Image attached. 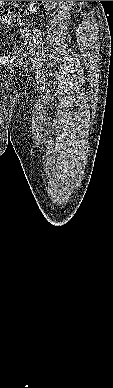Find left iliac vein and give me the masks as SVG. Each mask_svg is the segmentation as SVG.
<instances>
[{
    "label": "left iliac vein",
    "instance_id": "1",
    "mask_svg": "<svg viewBox=\"0 0 113 388\" xmlns=\"http://www.w3.org/2000/svg\"><path fill=\"white\" fill-rule=\"evenodd\" d=\"M29 53L32 57H36V49H35V46L33 44L29 45Z\"/></svg>",
    "mask_w": 113,
    "mask_h": 388
}]
</instances>
